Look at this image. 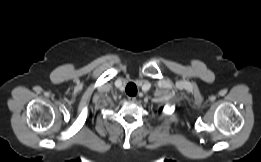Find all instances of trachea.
Listing matches in <instances>:
<instances>
[{"mask_svg": "<svg viewBox=\"0 0 261 162\" xmlns=\"http://www.w3.org/2000/svg\"><path fill=\"white\" fill-rule=\"evenodd\" d=\"M126 93L129 96H135L137 94V87L134 83H129L126 86Z\"/></svg>", "mask_w": 261, "mask_h": 162, "instance_id": "obj_1", "label": "trachea"}]
</instances>
